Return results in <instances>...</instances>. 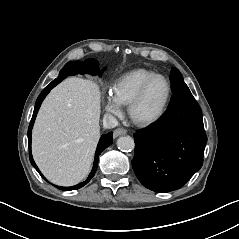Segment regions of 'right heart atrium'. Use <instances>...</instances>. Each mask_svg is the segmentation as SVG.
I'll return each mask as SVG.
<instances>
[{
	"label": "right heart atrium",
	"mask_w": 239,
	"mask_h": 239,
	"mask_svg": "<svg viewBox=\"0 0 239 239\" xmlns=\"http://www.w3.org/2000/svg\"><path fill=\"white\" fill-rule=\"evenodd\" d=\"M105 110L110 114L117 115L121 112V106L112 97H107L105 101Z\"/></svg>",
	"instance_id": "obj_1"
}]
</instances>
